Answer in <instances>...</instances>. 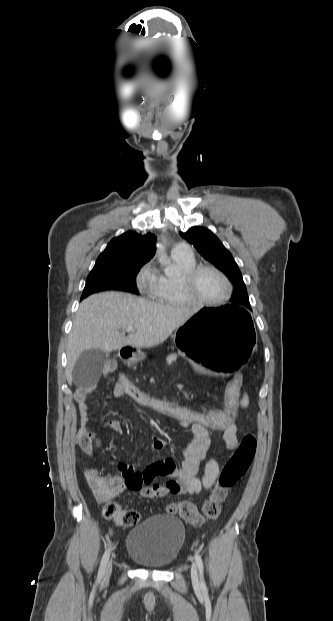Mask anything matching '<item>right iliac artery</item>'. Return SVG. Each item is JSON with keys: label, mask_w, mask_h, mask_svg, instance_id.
Segmentation results:
<instances>
[{"label": "right iliac artery", "mask_w": 333, "mask_h": 621, "mask_svg": "<svg viewBox=\"0 0 333 621\" xmlns=\"http://www.w3.org/2000/svg\"><path fill=\"white\" fill-rule=\"evenodd\" d=\"M110 551L111 549H107L105 553L103 554L100 567H99V571H98V577H97L98 580H101L104 576L106 565L108 563L109 556H110Z\"/></svg>", "instance_id": "1"}]
</instances>
